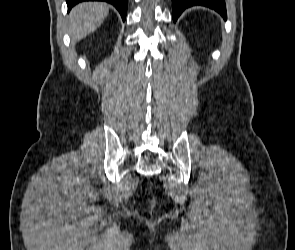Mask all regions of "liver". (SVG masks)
I'll return each mask as SVG.
<instances>
[{"instance_id":"liver-1","label":"liver","mask_w":295,"mask_h":250,"mask_svg":"<svg viewBox=\"0 0 295 250\" xmlns=\"http://www.w3.org/2000/svg\"><path fill=\"white\" fill-rule=\"evenodd\" d=\"M109 13L106 3L84 2L76 5L69 14V34L73 43L94 32Z\"/></svg>"}]
</instances>
